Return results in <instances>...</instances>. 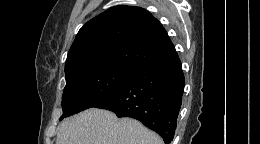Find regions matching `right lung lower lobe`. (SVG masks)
Masks as SVG:
<instances>
[{"label": "right lung lower lobe", "instance_id": "98d812e1", "mask_svg": "<svg viewBox=\"0 0 260 144\" xmlns=\"http://www.w3.org/2000/svg\"><path fill=\"white\" fill-rule=\"evenodd\" d=\"M184 82L181 62L173 51L137 67L116 92L94 107L113 111L118 117L135 118L170 144Z\"/></svg>", "mask_w": 260, "mask_h": 144}]
</instances>
